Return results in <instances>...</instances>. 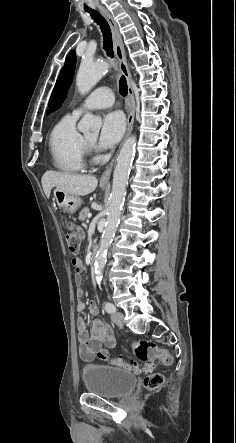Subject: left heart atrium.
Wrapping results in <instances>:
<instances>
[{
    "label": "left heart atrium",
    "mask_w": 236,
    "mask_h": 443,
    "mask_svg": "<svg viewBox=\"0 0 236 443\" xmlns=\"http://www.w3.org/2000/svg\"><path fill=\"white\" fill-rule=\"evenodd\" d=\"M125 130L124 116L119 111L105 114L102 119L97 146L107 149L114 146L122 137Z\"/></svg>",
    "instance_id": "obj_1"
}]
</instances>
